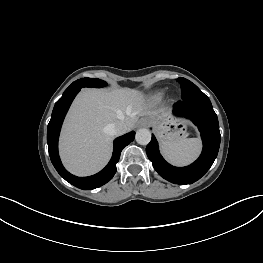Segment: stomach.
<instances>
[{
  "mask_svg": "<svg viewBox=\"0 0 263 263\" xmlns=\"http://www.w3.org/2000/svg\"><path fill=\"white\" fill-rule=\"evenodd\" d=\"M156 127V132L162 142L171 141L178 138H185L188 135L189 122L185 119H169L168 122H152Z\"/></svg>",
  "mask_w": 263,
  "mask_h": 263,
  "instance_id": "1",
  "label": "stomach"
}]
</instances>
